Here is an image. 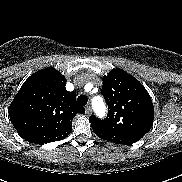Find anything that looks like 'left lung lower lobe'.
Segmentation results:
<instances>
[{
	"instance_id": "obj_1",
	"label": "left lung lower lobe",
	"mask_w": 182,
	"mask_h": 182,
	"mask_svg": "<svg viewBox=\"0 0 182 182\" xmlns=\"http://www.w3.org/2000/svg\"><path fill=\"white\" fill-rule=\"evenodd\" d=\"M92 129L99 138L116 143V144L131 145L138 141L136 139L123 136L121 134H117V133H113V132H109V131H105V130H101L97 128H92Z\"/></svg>"
}]
</instances>
